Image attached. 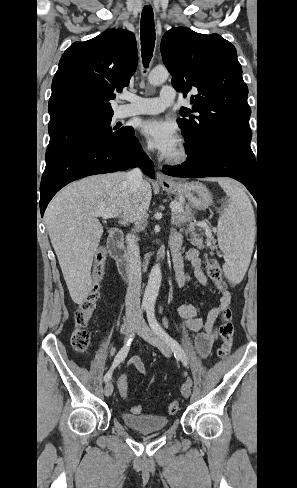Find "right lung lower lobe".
Segmentation results:
<instances>
[{"instance_id":"obj_1","label":"right lung lower lobe","mask_w":297,"mask_h":488,"mask_svg":"<svg viewBox=\"0 0 297 488\" xmlns=\"http://www.w3.org/2000/svg\"><path fill=\"white\" fill-rule=\"evenodd\" d=\"M140 166L154 178L152 162L134 132L128 137L74 146L46 163L40 184V211L43 216L52 197L68 183L95 174Z\"/></svg>"}]
</instances>
